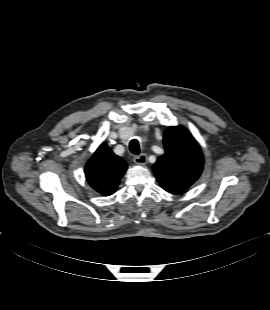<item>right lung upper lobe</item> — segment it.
<instances>
[{
	"label": "right lung upper lobe",
	"mask_w": 270,
	"mask_h": 310,
	"mask_svg": "<svg viewBox=\"0 0 270 310\" xmlns=\"http://www.w3.org/2000/svg\"><path fill=\"white\" fill-rule=\"evenodd\" d=\"M127 170L126 162L102 143L85 166L86 179L104 196L113 194Z\"/></svg>",
	"instance_id": "cb5924a9"
}]
</instances>
